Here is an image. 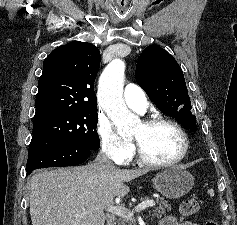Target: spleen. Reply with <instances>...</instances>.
I'll return each mask as SVG.
<instances>
[{"instance_id":"3e777b00","label":"spleen","mask_w":237,"mask_h":225,"mask_svg":"<svg viewBox=\"0 0 237 225\" xmlns=\"http://www.w3.org/2000/svg\"><path fill=\"white\" fill-rule=\"evenodd\" d=\"M208 194L213 197L214 196V190L213 189H209L208 190Z\"/></svg>"}]
</instances>
